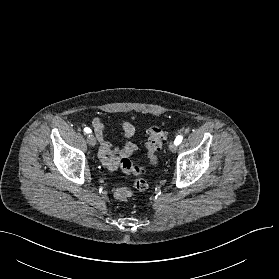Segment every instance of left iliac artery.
<instances>
[{
    "label": "left iliac artery",
    "instance_id": "44dca946",
    "mask_svg": "<svg viewBox=\"0 0 279 279\" xmlns=\"http://www.w3.org/2000/svg\"><path fill=\"white\" fill-rule=\"evenodd\" d=\"M183 137L181 135L177 136L174 143L176 145H179L182 142Z\"/></svg>",
    "mask_w": 279,
    "mask_h": 279
}]
</instances>
